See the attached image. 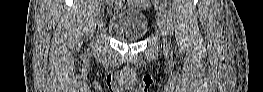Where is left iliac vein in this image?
<instances>
[{
  "label": "left iliac vein",
  "instance_id": "obj_1",
  "mask_svg": "<svg viewBox=\"0 0 263 92\" xmlns=\"http://www.w3.org/2000/svg\"><path fill=\"white\" fill-rule=\"evenodd\" d=\"M158 23H159L161 35L163 37L164 50L168 52L170 50V43L168 42V39H167V29L165 26L164 16H161L159 14Z\"/></svg>",
  "mask_w": 263,
  "mask_h": 92
}]
</instances>
